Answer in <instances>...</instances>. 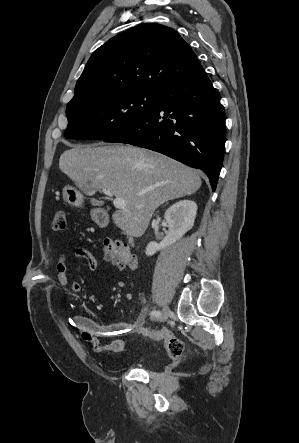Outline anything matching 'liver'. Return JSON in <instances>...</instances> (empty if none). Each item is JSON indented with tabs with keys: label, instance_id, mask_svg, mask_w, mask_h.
I'll list each match as a JSON object with an SVG mask.
<instances>
[{
	"label": "liver",
	"instance_id": "1",
	"mask_svg": "<svg viewBox=\"0 0 299 443\" xmlns=\"http://www.w3.org/2000/svg\"><path fill=\"white\" fill-rule=\"evenodd\" d=\"M59 168L87 195L108 189L125 199L112 219L134 237L143 235L160 205L193 194L202 184L193 168L132 146H74L60 156Z\"/></svg>",
	"mask_w": 299,
	"mask_h": 443
}]
</instances>
